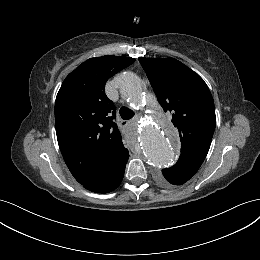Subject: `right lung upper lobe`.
Here are the masks:
<instances>
[{
  "mask_svg": "<svg viewBox=\"0 0 260 260\" xmlns=\"http://www.w3.org/2000/svg\"><path fill=\"white\" fill-rule=\"evenodd\" d=\"M135 61L123 56L90 58L64 80L55 102L58 144L74 178L86 184L108 175L129 158L114 119L105 83Z\"/></svg>",
  "mask_w": 260,
  "mask_h": 260,
  "instance_id": "obj_1",
  "label": "right lung upper lobe"
}]
</instances>
